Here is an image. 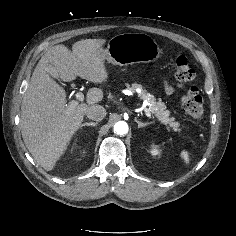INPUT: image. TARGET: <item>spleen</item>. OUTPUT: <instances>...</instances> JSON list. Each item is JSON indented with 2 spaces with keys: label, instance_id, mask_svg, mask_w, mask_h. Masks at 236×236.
Returning <instances> with one entry per match:
<instances>
[{
  "label": "spleen",
  "instance_id": "spleen-1",
  "mask_svg": "<svg viewBox=\"0 0 236 236\" xmlns=\"http://www.w3.org/2000/svg\"><path fill=\"white\" fill-rule=\"evenodd\" d=\"M181 155H182L184 161L188 164L189 161H190V158H189L188 152H187V151H183Z\"/></svg>",
  "mask_w": 236,
  "mask_h": 236
}]
</instances>
